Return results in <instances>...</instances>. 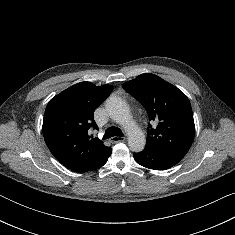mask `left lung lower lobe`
<instances>
[{
    "label": "left lung lower lobe",
    "instance_id": "1",
    "mask_svg": "<svg viewBox=\"0 0 235 235\" xmlns=\"http://www.w3.org/2000/svg\"><path fill=\"white\" fill-rule=\"evenodd\" d=\"M185 155L154 146H146L142 152L134 153L138 164L155 170H166L177 164Z\"/></svg>",
    "mask_w": 235,
    "mask_h": 235
}]
</instances>
